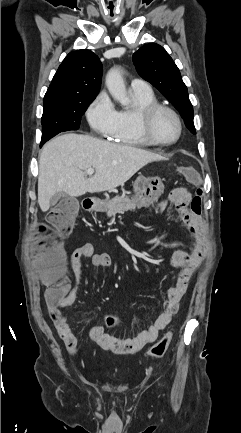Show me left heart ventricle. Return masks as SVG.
I'll use <instances>...</instances> for the list:
<instances>
[{
	"label": "left heart ventricle",
	"instance_id": "left-heart-ventricle-1",
	"mask_svg": "<svg viewBox=\"0 0 241 433\" xmlns=\"http://www.w3.org/2000/svg\"><path fill=\"white\" fill-rule=\"evenodd\" d=\"M152 131L158 140L169 142L177 136L178 126L171 114L162 111L155 117Z\"/></svg>",
	"mask_w": 241,
	"mask_h": 433
}]
</instances>
